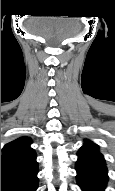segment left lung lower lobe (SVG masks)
Masks as SVG:
<instances>
[{
	"label": "left lung lower lobe",
	"instance_id": "obj_1",
	"mask_svg": "<svg viewBox=\"0 0 115 191\" xmlns=\"http://www.w3.org/2000/svg\"><path fill=\"white\" fill-rule=\"evenodd\" d=\"M77 182L82 191H104L108 182L105 163L94 160H78Z\"/></svg>",
	"mask_w": 115,
	"mask_h": 191
}]
</instances>
